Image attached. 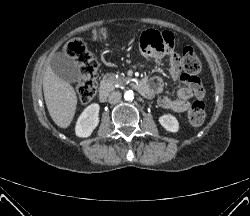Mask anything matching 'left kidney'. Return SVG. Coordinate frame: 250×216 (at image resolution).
<instances>
[{"instance_id":"obj_1","label":"left kidney","mask_w":250,"mask_h":216,"mask_svg":"<svg viewBox=\"0 0 250 216\" xmlns=\"http://www.w3.org/2000/svg\"><path fill=\"white\" fill-rule=\"evenodd\" d=\"M159 123L168 132L177 133L179 131V122L171 114H165L159 117Z\"/></svg>"}]
</instances>
